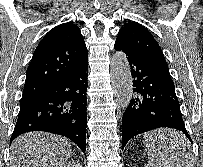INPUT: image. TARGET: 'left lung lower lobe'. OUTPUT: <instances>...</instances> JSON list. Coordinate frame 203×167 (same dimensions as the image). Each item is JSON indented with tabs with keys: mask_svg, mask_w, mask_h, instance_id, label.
<instances>
[{
	"mask_svg": "<svg viewBox=\"0 0 203 167\" xmlns=\"http://www.w3.org/2000/svg\"><path fill=\"white\" fill-rule=\"evenodd\" d=\"M131 66L134 96L122 119V148L134 136L156 128L168 127L181 131L192 142L176 97L168 66L155 63L115 42ZM179 151L187 146L176 147Z\"/></svg>",
	"mask_w": 203,
	"mask_h": 167,
	"instance_id": "obj_1",
	"label": "left lung lower lobe"
}]
</instances>
